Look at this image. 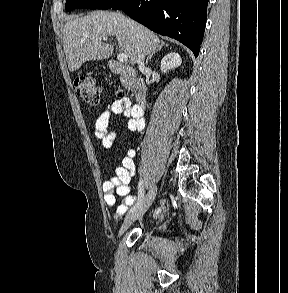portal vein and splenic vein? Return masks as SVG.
<instances>
[{
	"mask_svg": "<svg viewBox=\"0 0 288 293\" xmlns=\"http://www.w3.org/2000/svg\"><path fill=\"white\" fill-rule=\"evenodd\" d=\"M104 41H107V38H103ZM118 61L126 62L128 60V55L125 53H119L117 56Z\"/></svg>",
	"mask_w": 288,
	"mask_h": 293,
	"instance_id": "18ae733b",
	"label": "portal vein and splenic vein"
}]
</instances>
